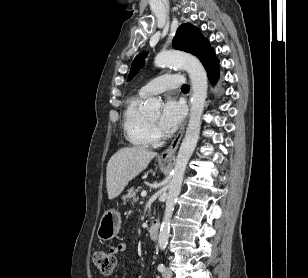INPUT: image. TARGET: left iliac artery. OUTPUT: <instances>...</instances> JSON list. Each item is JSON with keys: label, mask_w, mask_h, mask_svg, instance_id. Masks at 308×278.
<instances>
[{"label": "left iliac artery", "mask_w": 308, "mask_h": 278, "mask_svg": "<svg viewBox=\"0 0 308 278\" xmlns=\"http://www.w3.org/2000/svg\"><path fill=\"white\" fill-rule=\"evenodd\" d=\"M158 270L160 271V272H163L164 270H165V265L164 264H159L158 265Z\"/></svg>", "instance_id": "1"}]
</instances>
